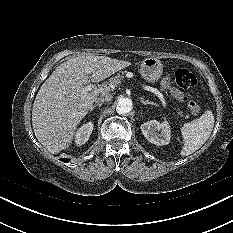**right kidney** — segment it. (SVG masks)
I'll return each instance as SVG.
<instances>
[{"label":"right kidney","instance_id":"right-kidney-1","mask_svg":"<svg viewBox=\"0 0 233 233\" xmlns=\"http://www.w3.org/2000/svg\"><path fill=\"white\" fill-rule=\"evenodd\" d=\"M93 123L92 122H87L86 124H83L76 132L75 134V143L77 146H81L83 144H85L92 131H93Z\"/></svg>","mask_w":233,"mask_h":233}]
</instances>
